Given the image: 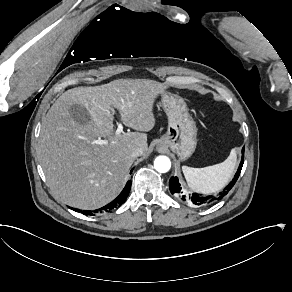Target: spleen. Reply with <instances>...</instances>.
<instances>
[{
  "label": "spleen",
  "mask_w": 292,
  "mask_h": 292,
  "mask_svg": "<svg viewBox=\"0 0 292 292\" xmlns=\"http://www.w3.org/2000/svg\"><path fill=\"white\" fill-rule=\"evenodd\" d=\"M236 162V151H230L222 163L203 168L182 166L185 179L195 191L209 193L220 190L231 178Z\"/></svg>",
  "instance_id": "3e777b00"
}]
</instances>
